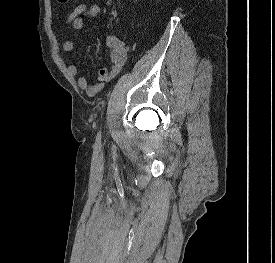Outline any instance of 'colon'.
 <instances>
[{
    "instance_id": "obj_1",
    "label": "colon",
    "mask_w": 275,
    "mask_h": 263,
    "mask_svg": "<svg viewBox=\"0 0 275 263\" xmlns=\"http://www.w3.org/2000/svg\"><path fill=\"white\" fill-rule=\"evenodd\" d=\"M59 3H61V4H65V3H67L69 0H57Z\"/></svg>"
}]
</instances>
